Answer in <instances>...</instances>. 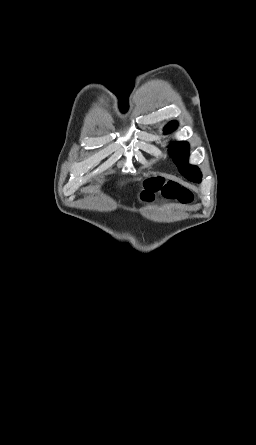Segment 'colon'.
Masks as SVG:
<instances>
[{"instance_id":"colon-1","label":"colon","mask_w":256,"mask_h":445,"mask_svg":"<svg viewBox=\"0 0 256 445\" xmlns=\"http://www.w3.org/2000/svg\"><path fill=\"white\" fill-rule=\"evenodd\" d=\"M160 195L167 201H179L183 204L192 202L193 195L190 190L181 187L175 182H164L153 178L147 181L145 190L141 193L143 202H151Z\"/></svg>"}]
</instances>
